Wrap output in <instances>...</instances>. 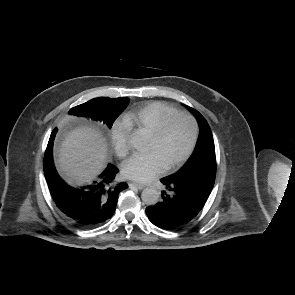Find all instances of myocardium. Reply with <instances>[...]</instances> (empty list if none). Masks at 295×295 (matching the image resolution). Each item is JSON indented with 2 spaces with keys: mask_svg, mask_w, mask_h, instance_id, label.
Wrapping results in <instances>:
<instances>
[{
  "mask_svg": "<svg viewBox=\"0 0 295 295\" xmlns=\"http://www.w3.org/2000/svg\"><path fill=\"white\" fill-rule=\"evenodd\" d=\"M177 117H186V118H188L190 120V122L192 124V128H193L192 138H191V142H190L189 147L186 150V152L179 159H177L175 162H173L170 165L166 166L164 168L165 172L175 170L178 167H180L181 165H183L190 158L192 153L194 152V149H195L197 141H198L199 126H198V122H197L196 118L192 114L187 113V112H182V111H178V112L172 113V114L164 117L160 121L158 126L150 133V136L153 137L154 139L161 138L163 136L168 124L173 119H175Z\"/></svg>",
  "mask_w": 295,
  "mask_h": 295,
  "instance_id": "myocardium-1",
  "label": "myocardium"
}]
</instances>
